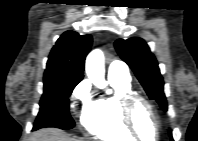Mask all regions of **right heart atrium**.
<instances>
[{"label": "right heart atrium", "mask_w": 198, "mask_h": 141, "mask_svg": "<svg viewBox=\"0 0 198 141\" xmlns=\"http://www.w3.org/2000/svg\"><path fill=\"white\" fill-rule=\"evenodd\" d=\"M91 86L87 80L81 81L72 91L70 97V109L75 112L80 110L82 118L91 105Z\"/></svg>", "instance_id": "obj_1"}]
</instances>
